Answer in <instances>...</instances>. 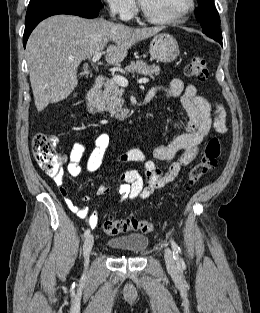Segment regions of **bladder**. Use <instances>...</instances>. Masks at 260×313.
Instances as JSON below:
<instances>
[{
    "label": "bladder",
    "instance_id": "obj_1",
    "mask_svg": "<svg viewBox=\"0 0 260 313\" xmlns=\"http://www.w3.org/2000/svg\"><path fill=\"white\" fill-rule=\"evenodd\" d=\"M107 245L115 250L128 251L134 255L142 253L148 245V237L140 234H128L111 238Z\"/></svg>",
    "mask_w": 260,
    "mask_h": 313
}]
</instances>
